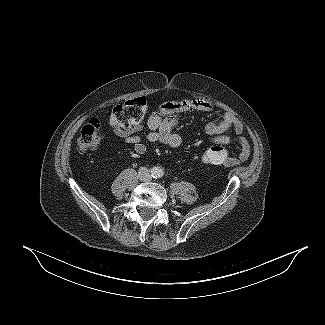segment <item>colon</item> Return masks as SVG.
I'll return each mask as SVG.
<instances>
[{
  "mask_svg": "<svg viewBox=\"0 0 325 325\" xmlns=\"http://www.w3.org/2000/svg\"><path fill=\"white\" fill-rule=\"evenodd\" d=\"M149 113L145 98L138 97L115 106L111 112L109 124L119 129H128L141 124ZM101 122L97 118L88 121L81 129L77 148L80 153H87L97 148L101 140ZM202 162L206 165H223L230 162L229 153L225 147L215 145L204 151Z\"/></svg>",
  "mask_w": 325,
  "mask_h": 325,
  "instance_id": "5ec220e1",
  "label": "colon"
}]
</instances>
